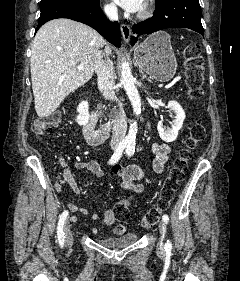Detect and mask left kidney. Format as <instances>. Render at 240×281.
<instances>
[{"instance_id": "left-kidney-1", "label": "left kidney", "mask_w": 240, "mask_h": 281, "mask_svg": "<svg viewBox=\"0 0 240 281\" xmlns=\"http://www.w3.org/2000/svg\"><path fill=\"white\" fill-rule=\"evenodd\" d=\"M168 108L175 113V119L172 122L171 128H166L162 121L158 122L157 129L161 139L165 142H173L178 136V131L182 128L185 112L177 101H169Z\"/></svg>"}]
</instances>
